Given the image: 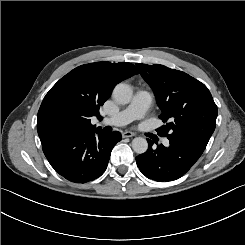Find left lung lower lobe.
<instances>
[{"label": "left lung lower lobe", "mask_w": 245, "mask_h": 245, "mask_svg": "<svg viewBox=\"0 0 245 245\" xmlns=\"http://www.w3.org/2000/svg\"><path fill=\"white\" fill-rule=\"evenodd\" d=\"M148 150L136 157L137 166L147 178L168 182L181 178L197 162L204 148L182 141L169 140L168 147L162 144L153 148V142L147 139Z\"/></svg>", "instance_id": "0a47b994"}]
</instances>
